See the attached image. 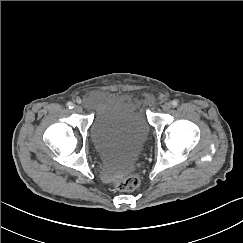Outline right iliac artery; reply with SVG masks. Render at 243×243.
Here are the masks:
<instances>
[{
    "label": "right iliac artery",
    "mask_w": 243,
    "mask_h": 243,
    "mask_svg": "<svg viewBox=\"0 0 243 243\" xmlns=\"http://www.w3.org/2000/svg\"><path fill=\"white\" fill-rule=\"evenodd\" d=\"M67 107H68L69 109H72V108L74 107V105H73L72 102H68V103H67Z\"/></svg>",
    "instance_id": "82829eb1"
}]
</instances>
